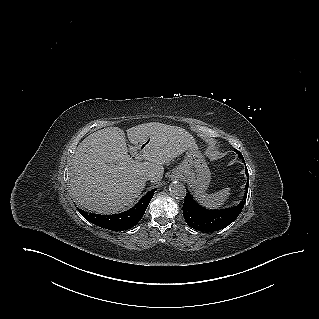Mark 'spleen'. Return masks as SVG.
Returning <instances> with one entry per match:
<instances>
[{"label": "spleen", "instance_id": "spleen-1", "mask_svg": "<svg viewBox=\"0 0 319 319\" xmlns=\"http://www.w3.org/2000/svg\"><path fill=\"white\" fill-rule=\"evenodd\" d=\"M230 196V188H224L218 192L207 194L205 191L195 192L196 199L205 207L219 208Z\"/></svg>", "mask_w": 319, "mask_h": 319}]
</instances>
